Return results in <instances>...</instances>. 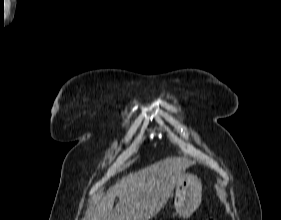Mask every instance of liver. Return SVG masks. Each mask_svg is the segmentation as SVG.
I'll return each mask as SVG.
<instances>
[{"mask_svg": "<svg viewBox=\"0 0 281 220\" xmlns=\"http://www.w3.org/2000/svg\"><path fill=\"white\" fill-rule=\"evenodd\" d=\"M190 165L185 157H170L123 177L109 187L90 220H150ZM116 197L119 202L113 208Z\"/></svg>", "mask_w": 281, "mask_h": 220, "instance_id": "6515ba94", "label": "liver"}]
</instances>
